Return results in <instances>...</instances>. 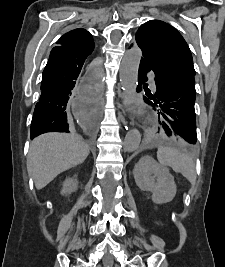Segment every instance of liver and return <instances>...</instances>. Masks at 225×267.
<instances>
[{
	"label": "liver",
	"instance_id": "6515ba94",
	"mask_svg": "<svg viewBox=\"0 0 225 267\" xmlns=\"http://www.w3.org/2000/svg\"><path fill=\"white\" fill-rule=\"evenodd\" d=\"M89 152V145L75 133L44 134L30 144L27 171L40 190L60 173L83 163Z\"/></svg>",
	"mask_w": 225,
	"mask_h": 267
}]
</instances>
